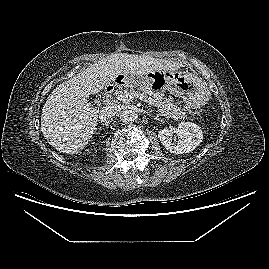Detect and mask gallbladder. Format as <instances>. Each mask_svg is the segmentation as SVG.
Wrapping results in <instances>:
<instances>
[{"label": "gallbladder", "mask_w": 269, "mask_h": 269, "mask_svg": "<svg viewBox=\"0 0 269 269\" xmlns=\"http://www.w3.org/2000/svg\"><path fill=\"white\" fill-rule=\"evenodd\" d=\"M93 102H94V103H97V99H94Z\"/></svg>", "instance_id": "bac80fb5"}]
</instances>
